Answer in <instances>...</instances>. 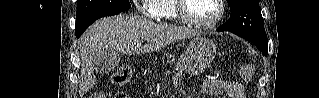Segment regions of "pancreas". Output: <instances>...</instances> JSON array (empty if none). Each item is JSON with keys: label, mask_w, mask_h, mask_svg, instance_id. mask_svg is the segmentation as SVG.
<instances>
[{"label": "pancreas", "mask_w": 319, "mask_h": 98, "mask_svg": "<svg viewBox=\"0 0 319 98\" xmlns=\"http://www.w3.org/2000/svg\"><path fill=\"white\" fill-rule=\"evenodd\" d=\"M164 56L167 57L168 62H174L175 61V56L169 53H165Z\"/></svg>", "instance_id": "obj_1"}]
</instances>
